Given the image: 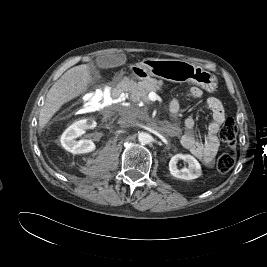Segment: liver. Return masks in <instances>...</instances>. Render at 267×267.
Returning a JSON list of instances; mask_svg holds the SVG:
<instances>
[{
  "label": "liver",
  "instance_id": "obj_1",
  "mask_svg": "<svg viewBox=\"0 0 267 267\" xmlns=\"http://www.w3.org/2000/svg\"><path fill=\"white\" fill-rule=\"evenodd\" d=\"M90 66L82 64L67 70L50 88L39 114V127L43 129L67 102L85 93L92 84Z\"/></svg>",
  "mask_w": 267,
  "mask_h": 267
}]
</instances>
